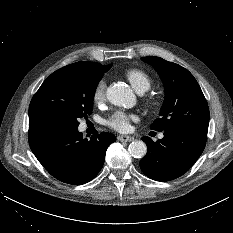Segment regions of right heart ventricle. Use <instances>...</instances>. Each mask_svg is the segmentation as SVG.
<instances>
[{"mask_svg": "<svg viewBox=\"0 0 233 233\" xmlns=\"http://www.w3.org/2000/svg\"><path fill=\"white\" fill-rule=\"evenodd\" d=\"M125 77L138 93H143L151 87L150 77L142 70L131 69L126 72Z\"/></svg>", "mask_w": 233, "mask_h": 233, "instance_id": "right-heart-ventricle-1", "label": "right heart ventricle"}]
</instances>
